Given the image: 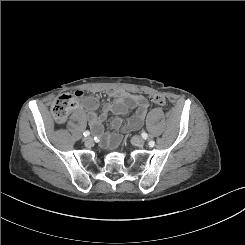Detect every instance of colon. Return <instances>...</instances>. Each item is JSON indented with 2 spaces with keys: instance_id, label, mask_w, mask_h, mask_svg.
Here are the masks:
<instances>
[{
  "instance_id": "5ec220e1",
  "label": "colon",
  "mask_w": 245,
  "mask_h": 245,
  "mask_svg": "<svg viewBox=\"0 0 245 245\" xmlns=\"http://www.w3.org/2000/svg\"><path fill=\"white\" fill-rule=\"evenodd\" d=\"M82 97L83 94L77 92L74 94H63L57 97L51 106V112L55 121L57 123H63ZM150 99L154 104L162 107H165L168 103L166 97L161 94H153L150 96Z\"/></svg>"
}]
</instances>
